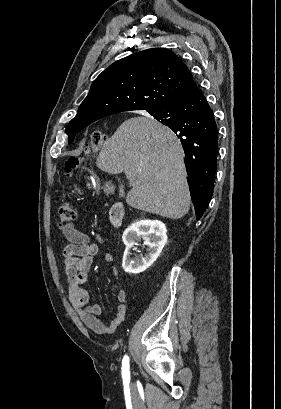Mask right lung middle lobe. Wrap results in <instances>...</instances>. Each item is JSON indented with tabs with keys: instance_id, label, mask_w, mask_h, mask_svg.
Here are the masks:
<instances>
[{
	"instance_id": "1",
	"label": "right lung middle lobe",
	"mask_w": 281,
	"mask_h": 409,
	"mask_svg": "<svg viewBox=\"0 0 281 409\" xmlns=\"http://www.w3.org/2000/svg\"><path fill=\"white\" fill-rule=\"evenodd\" d=\"M157 120L160 121L164 125L169 122V119L167 118H158ZM83 128L84 127H67V134L69 136V144L74 140L76 133L79 132Z\"/></svg>"
}]
</instances>
